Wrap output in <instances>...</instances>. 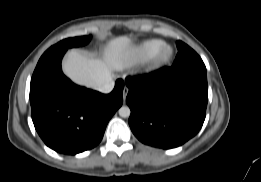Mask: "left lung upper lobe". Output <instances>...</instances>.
Masks as SVG:
<instances>
[{
	"instance_id": "obj_1",
	"label": "left lung upper lobe",
	"mask_w": 261,
	"mask_h": 182,
	"mask_svg": "<svg viewBox=\"0 0 261 182\" xmlns=\"http://www.w3.org/2000/svg\"><path fill=\"white\" fill-rule=\"evenodd\" d=\"M176 45L179 52L173 65L171 66L172 68L205 67V64L200 56L188 45L182 41H178Z\"/></svg>"
}]
</instances>
